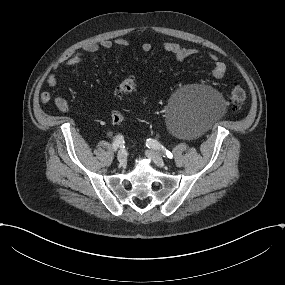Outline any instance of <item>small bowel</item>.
Instances as JSON below:
<instances>
[{
  "instance_id": "1",
  "label": "small bowel",
  "mask_w": 285,
  "mask_h": 285,
  "mask_svg": "<svg viewBox=\"0 0 285 285\" xmlns=\"http://www.w3.org/2000/svg\"><path fill=\"white\" fill-rule=\"evenodd\" d=\"M114 46H118L120 48H127L129 43L127 40L123 38H117L115 40L104 39L100 42L88 43L83 47V51L86 53H96L100 49H112ZM162 48L172 54L174 58L178 61H183L186 58L195 56L199 54V50L195 48L183 47L180 44L173 41H164L162 43ZM152 49V45L150 43H144L142 45V50L144 52H149ZM208 57L212 62V69L210 71V76L214 78H222L226 72V64L214 53H208ZM86 59L82 52H69L64 54L53 66V70H56L60 66H73L85 63ZM58 81V76L56 73H51L47 79V84L50 87L56 86ZM40 100L43 103H48L51 100L54 105L62 112L71 111L73 108L68 103V101L62 97L61 95H55L54 97L47 91H42L40 93Z\"/></svg>"
}]
</instances>
